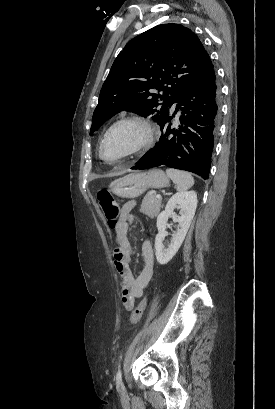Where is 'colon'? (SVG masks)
<instances>
[{
	"instance_id": "5ec220e1",
	"label": "colon",
	"mask_w": 275,
	"mask_h": 409,
	"mask_svg": "<svg viewBox=\"0 0 275 409\" xmlns=\"http://www.w3.org/2000/svg\"><path fill=\"white\" fill-rule=\"evenodd\" d=\"M97 201L100 205V208L107 220V223L110 228H114L117 224L119 216V205L116 199L108 191H100L97 194ZM146 308V300H143L138 304L136 308L130 314V324H137L143 317L144 311Z\"/></svg>"
}]
</instances>
